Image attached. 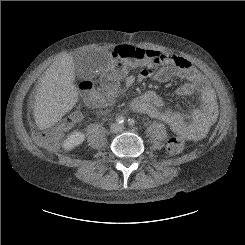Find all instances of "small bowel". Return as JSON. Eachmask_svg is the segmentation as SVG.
I'll list each match as a JSON object with an SVG mask.
<instances>
[{"label":"small bowel","instance_id":"c3829d8e","mask_svg":"<svg viewBox=\"0 0 245 245\" xmlns=\"http://www.w3.org/2000/svg\"><path fill=\"white\" fill-rule=\"evenodd\" d=\"M159 60L164 63L162 66L158 64ZM107 73L108 70L103 72L104 75ZM57 75L65 80L71 76L70 71H59ZM176 77L186 79L189 82L178 87L175 94L179 97H186L198 93L201 99L200 109L188 115L179 113L166 107L164 100L151 91L134 98L129 103V107L134 112L147 114L164 121L174 132L188 139H200L209 132L217 119L216 97L205 76L183 56L145 49L142 61L131 64L123 76L115 78V89L111 94L101 93L95 96L99 100L96 107L89 105L84 94L83 99L90 108L105 111L117 97L144 79L154 78L158 82L164 83Z\"/></svg>","mask_w":245,"mask_h":245}]
</instances>
